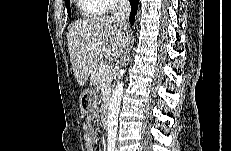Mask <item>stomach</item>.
<instances>
[{
  "label": "stomach",
  "instance_id": "obj_1",
  "mask_svg": "<svg viewBox=\"0 0 231 151\" xmlns=\"http://www.w3.org/2000/svg\"><path fill=\"white\" fill-rule=\"evenodd\" d=\"M97 102V93L93 89L84 90L79 98L80 110L82 113H90L94 110Z\"/></svg>",
  "mask_w": 231,
  "mask_h": 151
}]
</instances>
